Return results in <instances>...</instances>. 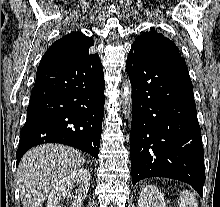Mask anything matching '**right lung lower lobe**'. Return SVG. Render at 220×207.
<instances>
[{"mask_svg": "<svg viewBox=\"0 0 220 207\" xmlns=\"http://www.w3.org/2000/svg\"><path fill=\"white\" fill-rule=\"evenodd\" d=\"M104 73L98 54L39 64L17 164L31 147L61 143L98 158L104 115Z\"/></svg>", "mask_w": 220, "mask_h": 207, "instance_id": "98d812e1", "label": "right lung lower lobe"}]
</instances>
